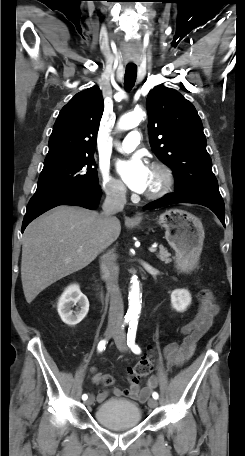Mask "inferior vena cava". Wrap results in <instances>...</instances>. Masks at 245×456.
Masks as SVG:
<instances>
[{
	"instance_id": "1",
	"label": "inferior vena cava",
	"mask_w": 245,
	"mask_h": 456,
	"mask_svg": "<svg viewBox=\"0 0 245 456\" xmlns=\"http://www.w3.org/2000/svg\"><path fill=\"white\" fill-rule=\"evenodd\" d=\"M126 204V188L123 185L106 190V199L102 206L101 218L105 226L116 220L114 216L123 210ZM101 268L104 272L106 288L110 295L108 325L121 328L124 316V304L118 286L119 266L113 254L107 252L101 257Z\"/></svg>"
}]
</instances>
